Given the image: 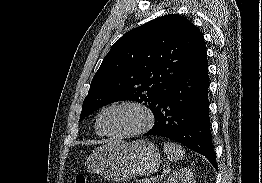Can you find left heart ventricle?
<instances>
[{
    "label": "left heart ventricle",
    "instance_id": "b2bd125f",
    "mask_svg": "<svg viewBox=\"0 0 262 183\" xmlns=\"http://www.w3.org/2000/svg\"><path fill=\"white\" fill-rule=\"evenodd\" d=\"M144 123V113L130 106L112 108L106 111L101 118L102 129L112 134H121L138 129Z\"/></svg>",
    "mask_w": 262,
    "mask_h": 183
}]
</instances>
